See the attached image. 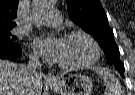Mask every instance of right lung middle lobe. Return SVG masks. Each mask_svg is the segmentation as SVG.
I'll return each instance as SVG.
<instances>
[{"label": "right lung middle lobe", "instance_id": "obj_1", "mask_svg": "<svg viewBox=\"0 0 135 95\" xmlns=\"http://www.w3.org/2000/svg\"><path fill=\"white\" fill-rule=\"evenodd\" d=\"M16 39L17 37L12 35L10 30H0V50L20 47Z\"/></svg>", "mask_w": 135, "mask_h": 95}]
</instances>
